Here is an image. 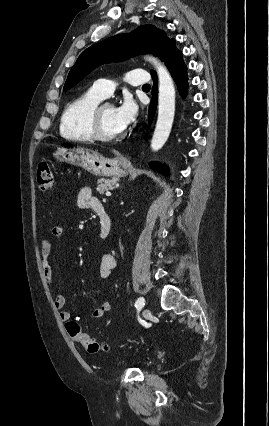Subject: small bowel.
Returning a JSON list of instances; mask_svg holds the SVG:
<instances>
[{
  "mask_svg": "<svg viewBox=\"0 0 269 426\" xmlns=\"http://www.w3.org/2000/svg\"><path fill=\"white\" fill-rule=\"evenodd\" d=\"M78 207L81 209H91L96 212V209L101 207L100 201L93 196L90 187H83L80 189L77 198ZM64 235V229L61 225H55L51 228L49 236L45 237L41 241L40 257L43 266V272L45 279L49 285L53 283V269L50 263V257L52 254L51 238L62 239ZM117 256L113 253L105 254L100 262V276L104 279L111 277L113 269L117 266ZM66 303L65 295L59 293L54 298L55 308L58 310L59 318L63 322L75 319L80 320V315H74L71 312L64 309ZM112 308V304L109 301H104L102 304L93 311V317L95 319L103 318Z\"/></svg>",
  "mask_w": 269,
  "mask_h": 426,
  "instance_id": "small-bowel-1",
  "label": "small bowel"
}]
</instances>
